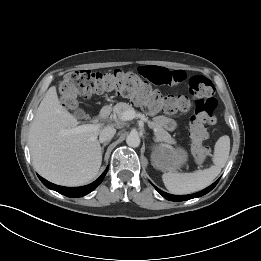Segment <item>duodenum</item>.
Listing matches in <instances>:
<instances>
[{
  "label": "duodenum",
  "mask_w": 261,
  "mask_h": 261,
  "mask_svg": "<svg viewBox=\"0 0 261 261\" xmlns=\"http://www.w3.org/2000/svg\"><path fill=\"white\" fill-rule=\"evenodd\" d=\"M110 114V108L108 106H104L99 113L100 118L105 119Z\"/></svg>",
  "instance_id": "410a0bca"
}]
</instances>
